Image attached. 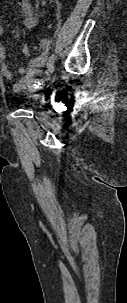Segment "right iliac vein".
Listing matches in <instances>:
<instances>
[{
  "label": "right iliac vein",
  "instance_id": "63e3f726",
  "mask_svg": "<svg viewBox=\"0 0 127 303\" xmlns=\"http://www.w3.org/2000/svg\"><path fill=\"white\" fill-rule=\"evenodd\" d=\"M53 72H54V66H49L45 71V75L50 76Z\"/></svg>",
  "mask_w": 127,
  "mask_h": 303
}]
</instances>
